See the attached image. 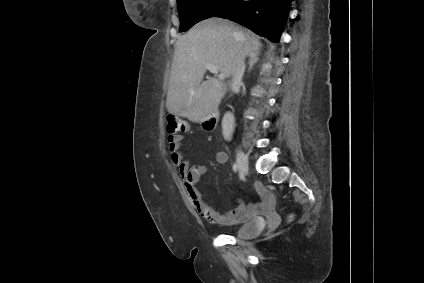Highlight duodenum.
Here are the masks:
<instances>
[{"mask_svg": "<svg viewBox=\"0 0 424 283\" xmlns=\"http://www.w3.org/2000/svg\"><path fill=\"white\" fill-rule=\"evenodd\" d=\"M218 120V112L212 111L209 116L206 118L203 126L206 130H212L216 126Z\"/></svg>", "mask_w": 424, "mask_h": 283, "instance_id": "obj_1", "label": "duodenum"}]
</instances>
